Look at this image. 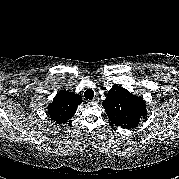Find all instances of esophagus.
I'll return each mask as SVG.
<instances>
[{
  "label": "esophagus",
  "mask_w": 179,
  "mask_h": 179,
  "mask_svg": "<svg viewBox=\"0 0 179 179\" xmlns=\"http://www.w3.org/2000/svg\"><path fill=\"white\" fill-rule=\"evenodd\" d=\"M92 101H93V102H98V101H99V96H98V95L95 96Z\"/></svg>",
  "instance_id": "esophagus-1"
}]
</instances>
